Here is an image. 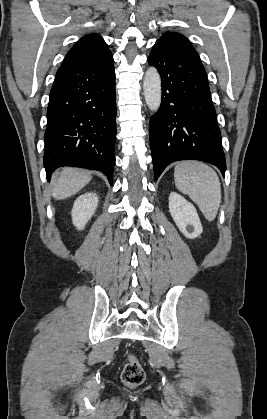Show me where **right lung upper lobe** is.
<instances>
[{
    "label": "right lung upper lobe",
    "instance_id": "1",
    "mask_svg": "<svg viewBox=\"0 0 267 419\" xmlns=\"http://www.w3.org/2000/svg\"><path fill=\"white\" fill-rule=\"evenodd\" d=\"M113 60V56L98 34L82 37L67 53L62 66L98 67Z\"/></svg>",
    "mask_w": 267,
    "mask_h": 419
}]
</instances>
